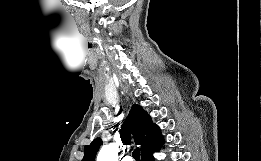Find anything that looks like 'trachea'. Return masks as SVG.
<instances>
[{
    "label": "trachea",
    "mask_w": 261,
    "mask_h": 161,
    "mask_svg": "<svg viewBox=\"0 0 261 161\" xmlns=\"http://www.w3.org/2000/svg\"><path fill=\"white\" fill-rule=\"evenodd\" d=\"M133 158L135 161H140V150L139 148H136L132 153Z\"/></svg>",
    "instance_id": "obj_1"
}]
</instances>
